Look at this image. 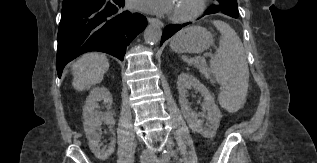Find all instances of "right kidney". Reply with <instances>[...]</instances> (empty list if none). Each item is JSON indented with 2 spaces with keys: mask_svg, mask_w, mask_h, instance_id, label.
Here are the masks:
<instances>
[{
  "mask_svg": "<svg viewBox=\"0 0 317 163\" xmlns=\"http://www.w3.org/2000/svg\"><path fill=\"white\" fill-rule=\"evenodd\" d=\"M101 100L107 104H111L112 95L107 88L96 87L87 97L85 106L83 107V125L91 151L98 159L106 160L115 150V139L112 138L108 149H100V136L97 129L102 123L113 127L115 125V120L110 112L102 114L96 110L98 108V102Z\"/></svg>",
  "mask_w": 317,
  "mask_h": 163,
  "instance_id": "obj_1",
  "label": "right kidney"
}]
</instances>
